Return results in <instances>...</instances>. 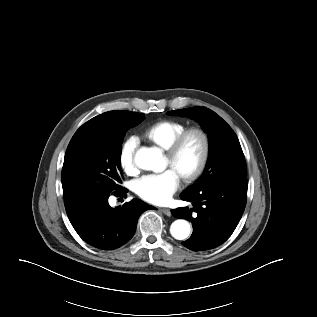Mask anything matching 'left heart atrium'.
Here are the masks:
<instances>
[{
  "label": "left heart atrium",
  "mask_w": 317,
  "mask_h": 317,
  "mask_svg": "<svg viewBox=\"0 0 317 317\" xmlns=\"http://www.w3.org/2000/svg\"><path fill=\"white\" fill-rule=\"evenodd\" d=\"M180 186V175L173 169L162 173L147 174L134 183L138 196L153 204H165Z\"/></svg>",
  "instance_id": "39dd6f15"
}]
</instances>
